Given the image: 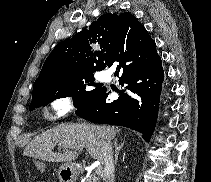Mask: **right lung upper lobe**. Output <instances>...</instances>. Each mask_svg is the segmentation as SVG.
Here are the masks:
<instances>
[{
  "label": "right lung upper lobe",
  "mask_w": 211,
  "mask_h": 182,
  "mask_svg": "<svg viewBox=\"0 0 211 182\" xmlns=\"http://www.w3.org/2000/svg\"><path fill=\"white\" fill-rule=\"evenodd\" d=\"M147 33L130 13L101 15L88 30L54 47L34 83L33 92L48 84L103 70L118 48Z\"/></svg>",
  "instance_id": "obj_1"
}]
</instances>
